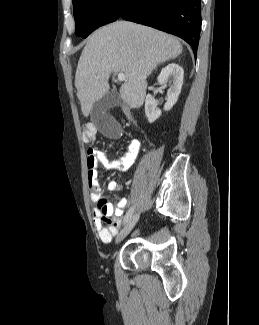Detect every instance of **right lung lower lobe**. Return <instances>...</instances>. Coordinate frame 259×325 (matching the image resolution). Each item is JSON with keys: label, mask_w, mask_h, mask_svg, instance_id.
I'll use <instances>...</instances> for the list:
<instances>
[{"label": "right lung lower lobe", "mask_w": 259, "mask_h": 325, "mask_svg": "<svg viewBox=\"0 0 259 325\" xmlns=\"http://www.w3.org/2000/svg\"><path fill=\"white\" fill-rule=\"evenodd\" d=\"M118 18L179 36L197 54L201 0H126Z\"/></svg>", "instance_id": "obj_1"}]
</instances>
